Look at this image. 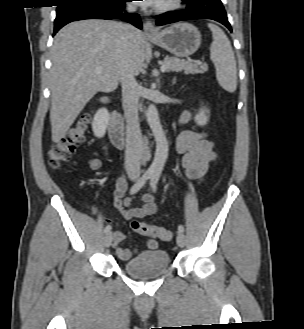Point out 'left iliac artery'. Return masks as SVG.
Wrapping results in <instances>:
<instances>
[{
    "instance_id": "44dca946",
    "label": "left iliac artery",
    "mask_w": 304,
    "mask_h": 329,
    "mask_svg": "<svg viewBox=\"0 0 304 329\" xmlns=\"http://www.w3.org/2000/svg\"><path fill=\"white\" fill-rule=\"evenodd\" d=\"M159 178H160L159 172H155L151 177L150 185H151V188L153 189V191L157 190V184H158ZM178 230L180 232H184V227L182 225H179Z\"/></svg>"
}]
</instances>
